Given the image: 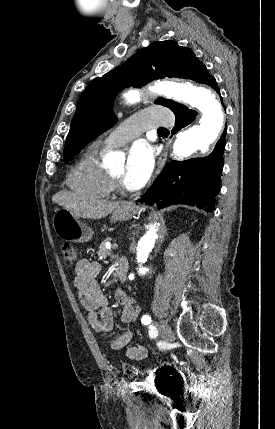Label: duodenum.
Listing matches in <instances>:
<instances>
[{"mask_svg":"<svg viewBox=\"0 0 275 429\" xmlns=\"http://www.w3.org/2000/svg\"><path fill=\"white\" fill-rule=\"evenodd\" d=\"M128 271V263L126 260L119 261L117 267H116V273L121 282H124L126 279Z\"/></svg>","mask_w":275,"mask_h":429,"instance_id":"410a0bca","label":"duodenum"}]
</instances>
